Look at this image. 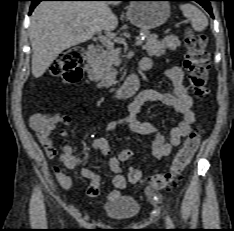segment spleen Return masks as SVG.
Masks as SVG:
<instances>
[{
  "instance_id": "spleen-1",
  "label": "spleen",
  "mask_w": 234,
  "mask_h": 231,
  "mask_svg": "<svg viewBox=\"0 0 234 231\" xmlns=\"http://www.w3.org/2000/svg\"><path fill=\"white\" fill-rule=\"evenodd\" d=\"M183 15L191 21L194 30L202 31L208 26V19L200 9L190 3L180 5Z\"/></svg>"
}]
</instances>
